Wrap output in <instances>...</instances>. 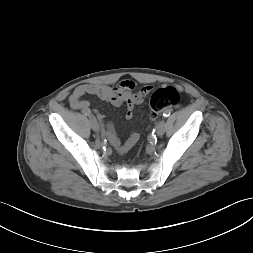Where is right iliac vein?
Listing matches in <instances>:
<instances>
[{
  "label": "right iliac vein",
  "instance_id": "obj_1",
  "mask_svg": "<svg viewBox=\"0 0 253 253\" xmlns=\"http://www.w3.org/2000/svg\"><path fill=\"white\" fill-rule=\"evenodd\" d=\"M90 125L95 132H99V124L94 117H90Z\"/></svg>",
  "mask_w": 253,
  "mask_h": 253
}]
</instances>
